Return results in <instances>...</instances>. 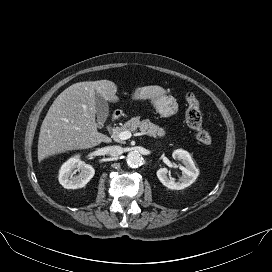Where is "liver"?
<instances>
[{
    "mask_svg": "<svg viewBox=\"0 0 272 272\" xmlns=\"http://www.w3.org/2000/svg\"><path fill=\"white\" fill-rule=\"evenodd\" d=\"M117 86L109 80L75 83L60 93L49 108L40 128L38 161L65 151L88 149L110 138L97 130L95 93L106 101L118 102ZM158 85L135 88L132 100L164 95Z\"/></svg>",
    "mask_w": 272,
    "mask_h": 272,
    "instance_id": "liver-1",
    "label": "liver"
}]
</instances>
